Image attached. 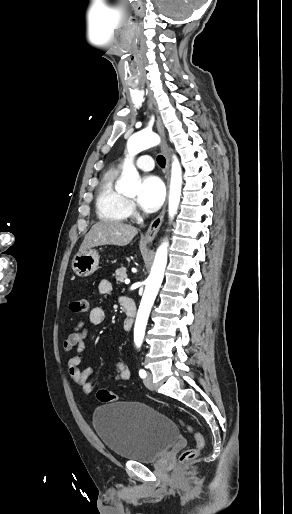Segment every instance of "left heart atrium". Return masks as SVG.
I'll list each match as a JSON object with an SVG mask.
<instances>
[{"instance_id": "39dd6f15", "label": "left heart atrium", "mask_w": 292, "mask_h": 514, "mask_svg": "<svg viewBox=\"0 0 292 514\" xmlns=\"http://www.w3.org/2000/svg\"><path fill=\"white\" fill-rule=\"evenodd\" d=\"M165 197V186L160 177L156 175L145 176L141 180L139 192L136 197L138 206L148 212L157 210Z\"/></svg>"}]
</instances>
